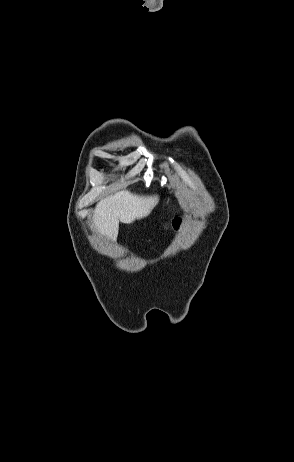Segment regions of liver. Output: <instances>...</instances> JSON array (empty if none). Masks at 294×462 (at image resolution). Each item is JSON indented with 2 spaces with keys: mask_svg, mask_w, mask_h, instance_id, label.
<instances>
[{
  "mask_svg": "<svg viewBox=\"0 0 294 462\" xmlns=\"http://www.w3.org/2000/svg\"><path fill=\"white\" fill-rule=\"evenodd\" d=\"M159 197L133 194L127 190L100 200L94 210L93 227L102 235L116 241L119 222L130 224L147 217Z\"/></svg>",
  "mask_w": 294,
  "mask_h": 462,
  "instance_id": "1",
  "label": "liver"
}]
</instances>
